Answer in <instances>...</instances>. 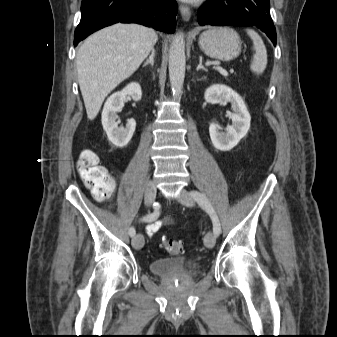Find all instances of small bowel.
<instances>
[{"label":"small bowel","mask_w":337,"mask_h":337,"mask_svg":"<svg viewBox=\"0 0 337 337\" xmlns=\"http://www.w3.org/2000/svg\"><path fill=\"white\" fill-rule=\"evenodd\" d=\"M171 221V218L169 216L165 217L164 219L162 220H158L154 223H151L149 224L147 227H146V233L148 236H152L159 228L160 226L163 224V223H168Z\"/></svg>","instance_id":"1"}]
</instances>
